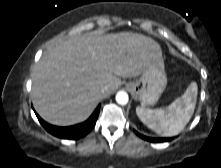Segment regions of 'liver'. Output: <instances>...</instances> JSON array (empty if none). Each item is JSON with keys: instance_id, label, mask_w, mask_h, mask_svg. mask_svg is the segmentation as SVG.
I'll list each match as a JSON object with an SVG mask.
<instances>
[{"instance_id": "liver-1", "label": "liver", "mask_w": 221, "mask_h": 168, "mask_svg": "<svg viewBox=\"0 0 221 168\" xmlns=\"http://www.w3.org/2000/svg\"><path fill=\"white\" fill-rule=\"evenodd\" d=\"M153 62L163 63L160 45L137 33H91L61 41L34 67L33 105L53 125L83 122L119 87L120 77H138Z\"/></svg>"}]
</instances>
